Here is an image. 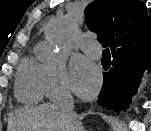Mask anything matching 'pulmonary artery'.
<instances>
[{
  "label": "pulmonary artery",
  "instance_id": "1",
  "mask_svg": "<svg viewBox=\"0 0 151 131\" xmlns=\"http://www.w3.org/2000/svg\"><path fill=\"white\" fill-rule=\"evenodd\" d=\"M83 49L85 50V52L94 57H100L101 55L100 50L97 47H95L93 43L90 41H87L83 44Z\"/></svg>",
  "mask_w": 151,
  "mask_h": 131
}]
</instances>
